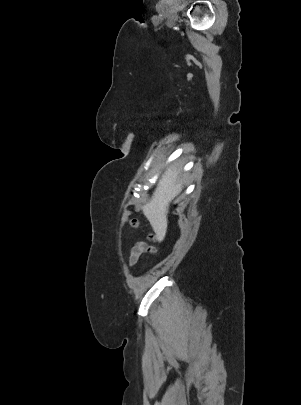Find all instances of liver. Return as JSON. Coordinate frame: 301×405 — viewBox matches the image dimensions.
Masks as SVG:
<instances>
[{"label": "liver", "mask_w": 301, "mask_h": 405, "mask_svg": "<svg viewBox=\"0 0 301 405\" xmlns=\"http://www.w3.org/2000/svg\"><path fill=\"white\" fill-rule=\"evenodd\" d=\"M182 189L183 183L180 181L179 171L169 167L161 176L151 200L142 207L159 241H162L166 235L169 204Z\"/></svg>", "instance_id": "obj_1"}]
</instances>
